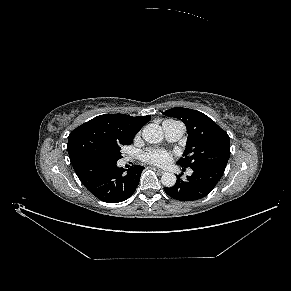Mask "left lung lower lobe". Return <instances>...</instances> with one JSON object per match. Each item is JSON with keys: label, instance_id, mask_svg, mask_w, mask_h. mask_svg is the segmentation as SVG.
Masks as SVG:
<instances>
[{"label": "left lung lower lobe", "instance_id": "0a47b994", "mask_svg": "<svg viewBox=\"0 0 291 291\" xmlns=\"http://www.w3.org/2000/svg\"><path fill=\"white\" fill-rule=\"evenodd\" d=\"M193 173L183 181L177 175L174 186L164 188L166 194L179 201H195L207 196L222 177L225 167L219 165H199L191 168Z\"/></svg>", "mask_w": 291, "mask_h": 291}]
</instances>
